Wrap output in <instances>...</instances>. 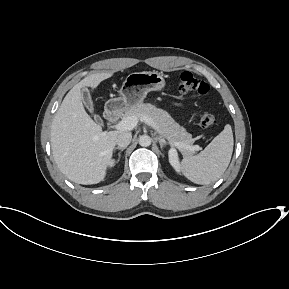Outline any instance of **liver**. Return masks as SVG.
<instances>
[{
    "label": "liver",
    "instance_id": "6515ba94",
    "mask_svg": "<svg viewBox=\"0 0 289 289\" xmlns=\"http://www.w3.org/2000/svg\"><path fill=\"white\" fill-rule=\"evenodd\" d=\"M113 72L85 77L65 96L51 126V149L60 171L71 181L90 185L101 182L106 174L116 139L123 132H103L86 113L81 88H96Z\"/></svg>",
    "mask_w": 289,
    "mask_h": 289
}]
</instances>
